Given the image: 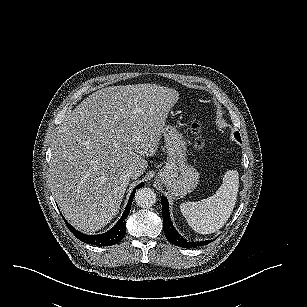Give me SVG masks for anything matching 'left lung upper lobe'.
I'll return each instance as SVG.
<instances>
[{
  "instance_id": "1",
  "label": "left lung upper lobe",
  "mask_w": 307,
  "mask_h": 307,
  "mask_svg": "<svg viewBox=\"0 0 307 307\" xmlns=\"http://www.w3.org/2000/svg\"><path fill=\"white\" fill-rule=\"evenodd\" d=\"M234 135H235V138H236L238 141H240V142H241V139H240V135H239V133H238V132H236Z\"/></svg>"
}]
</instances>
